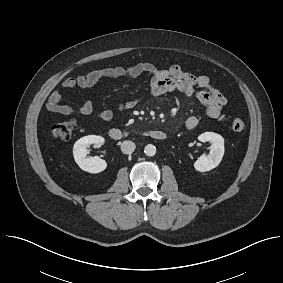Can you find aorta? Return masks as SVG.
Segmentation results:
<instances>
[{
    "instance_id": "obj_1",
    "label": "aorta",
    "mask_w": 283,
    "mask_h": 283,
    "mask_svg": "<svg viewBox=\"0 0 283 283\" xmlns=\"http://www.w3.org/2000/svg\"><path fill=\"white\" fill-rule=\"evenodd\" d=\"M144 152L147 156H154L156 154V147L152 144H148L144 148Z\"/></svg>"
}]
</instances>
